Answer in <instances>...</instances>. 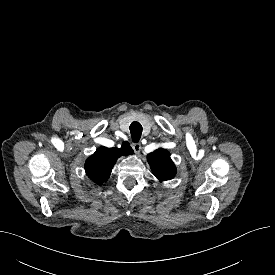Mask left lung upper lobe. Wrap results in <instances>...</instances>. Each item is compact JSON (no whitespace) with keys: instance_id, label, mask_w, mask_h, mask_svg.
<instances>
[{"instance_id":"obj_1","label":"left lung upper lobe","mask_w":275,"mask_h":275,"mask_svg":"<svg viewBox=\"0 0 275 275\" xmlns=\"http://www.w3.org/2000/svg\"><path fill=\"white\" fill-rule=\"evenodd\" d=\"M147 158L152 173L161 182L170 180L175 176L176 167L167 150L159 148L150 153Z\"/></svg>"}]
</instances>
